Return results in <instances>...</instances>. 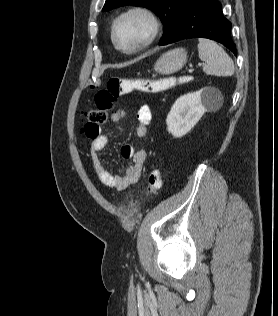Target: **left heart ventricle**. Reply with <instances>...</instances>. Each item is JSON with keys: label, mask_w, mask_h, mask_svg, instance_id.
I'll return each mask as SVG.
<instances>
[{"label": "left heart ventricle", "mask_w": 278, "mask_h": 316, "mask_svg": "<svg viewBox=\"0 0 278 316\" xmlns=\"http://www.w3.org/2000/svg\"><path fill=\"white\" fill-rule=\"evenodd\" d=\"M148 33L147 23L139 17L121 21L116 28V39L124 48H131L141 42Z\"/></svg>", "instance_id": "obj_1"}]
</instances>
